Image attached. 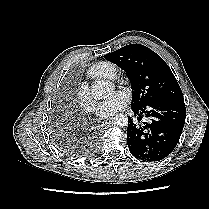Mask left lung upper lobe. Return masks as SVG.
Returning a JSON list of instances; mask_svg holds the SVG:
<instances>
[{
    "instance_id": "left-lung-upper-lobe-1",
    "label": "left lung upper lobe",
    "mask_w": 209,
    "mask_h": 209,
    "mask_svg": "<svg viewBox=\"0 0 209 209\" xmlns=\"http://www.w3.org/2000/svg\"><path fill=\"white\" fill-rule=\"evenodd\" d=\"M104 57L125 71L133 91L132 107L183 98L169 66L148 47L130 44Z\"/></svg>"
}]
</instances>
